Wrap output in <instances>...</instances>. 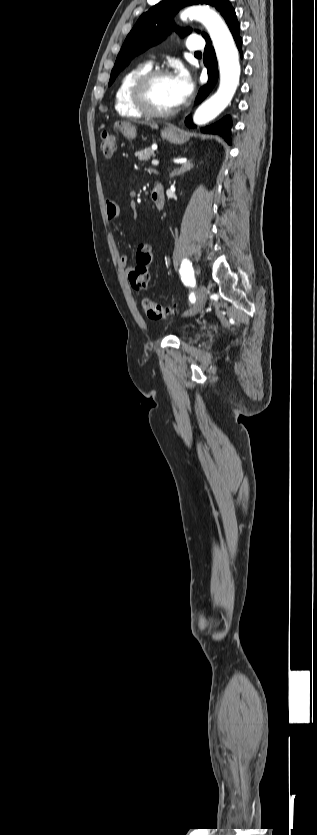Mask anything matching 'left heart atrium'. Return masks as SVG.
Masks as SVG:
<instances>
[{
    "instance_id": "obj_1",
    "label": "left heart atrium",
    "mask_w": 317,
    "mask_h": 835,
    "mask_svg": "<svg viewBox=\"0 0 317 835\" xmlns=\"http://www.w3.org/2000/svg\"><path fill=\"white\" fill-rule=\"evenodd\" d=\"M172 87L177 105L184 102L193 91V83L185 69H180L179 72L172 77Z\"/></svg>"
}]
</instances>
